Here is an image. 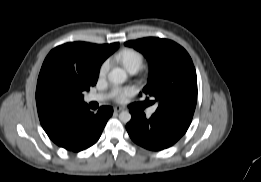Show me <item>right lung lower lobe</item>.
<instances>
[{"mask_svg":"<svg viewBox=\"0 0 261 182\" xmlns=\"http://www.w3.org/2000/svg\"><path fill=\"white\" fill-rule=\"evenodd\" d=\"M113 108L102 106L93 113L86 104L67 110L58 121L45 132L58 146L79 152L92 146L101 136Z\"/></svg>","mask_w":261,"mask_h":182,"instance_id":"1","label":"right lung lower lobe"}]
</instances>
